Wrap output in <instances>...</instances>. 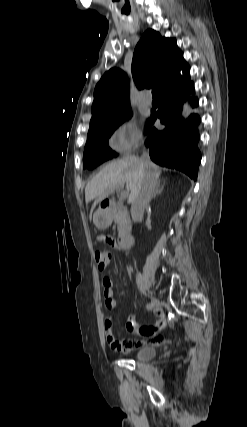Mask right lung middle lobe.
<instances>
[{
    "label": "right lung middle lobe",
    "instance_id": "1",
    "mask_svg": "<svg viewBox=\"0 0 247 427\" xmlns=\"http://www.w3.org/2000/svg\"><path fill=\"white\" fill-rule=\"evenodd\" d=\"M130 117L131 110L127 108L113 120L96 128L89 129L83 154V168L92 170L104 161L117 156L108 147V138L120 124Z\"/></svg>",
    "mask_w": 247,
    "mask_h": 427
}]
</instances>
